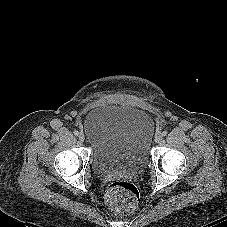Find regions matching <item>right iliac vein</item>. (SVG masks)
I'll return each mask as SVG.
<instances>
[{"instance_id": "1", "label": "right iliac vein", "mask_w": 227, "mask_h": 227, "mask_svg": "<svg viewBox=\"0 0 227 227\" xmlns=\"http://www.w3.org/2000/svg\"><path fill=\"white\" fill-rule=\"evenodd\" d=\"M78 137H79V140L82 142L85 140V136L83 133H80Z\"/></svg>"}]
</instances>
